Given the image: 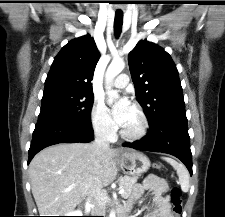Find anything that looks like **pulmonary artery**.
Instances as JSON below:
<instances>
[{
    "mask_svg": "<svg viewBox=\"0 0 225 217\" xmlns=\"http://www.w3.org/2000/svg\"><path fill=\"white\" fill-rule=\"evenodd\" d=\"M129 84V77L126 74H120L114 81L113 85L117 88H124Z\"/></svg>",
    "mask_w": 225,
    "mask_h": 217,
    "instance_id": "1",
    "label": "pulmonary artery"
}]
</instances>
